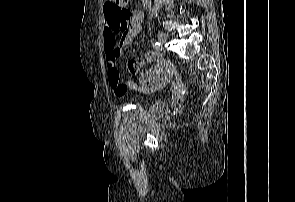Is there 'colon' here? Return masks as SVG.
<instances>
[{
	"instance_id": "colon-1",
	"label": "colon",
	"mask_w": 295,
	"mask_h": 202,
	"mask_svg": "<svg viewBox=\"0 0 295 202\" xmlns=\"http://www.w3.org/2000/svg\"><path fill=\"white\" fill-rule=\"evenodd\" d=\"M129 0H106L105 12L111 17H115L121 21V27L125 28L129 20V10L125 7Z\"/></svg>"
}]
</instances>
